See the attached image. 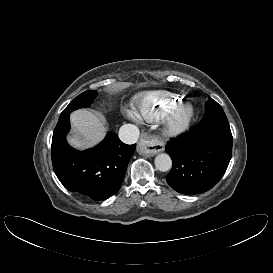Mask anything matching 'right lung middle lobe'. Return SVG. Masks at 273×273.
Listing matches in <instances>:
<instances>
[{
	"mask_svg": "<svg viewBox=\"0 0 273 273\" xmlns=\"http://www.w3.org/2000/svg\"><path fill=\"white\" fill-rule=\"evenodd\" d=\"M96 96V91H85L79 96H77L61 113L60 118L69 115L72 111L84 108L90 105L94 97Z\"/></svg>",
	"mask_w": 273,
	"mask_h": 273,
	"instance_id": "1",
	"label": "right lung middle lobe"
}]
</instances>
